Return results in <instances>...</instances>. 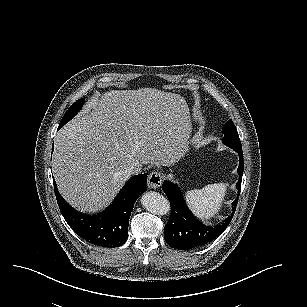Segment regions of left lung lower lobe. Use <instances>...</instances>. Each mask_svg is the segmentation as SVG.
<instances>
[{
	"label": "left lung lower lobe",
	"instance_id": "obj_1",
	"mask_svg": "<svg viewBox=\"0 0 307 307\" xmlns=\"http://www.w3.org/2000/svg\"><path fill=\"white\" fill-rule=\"evenodd\" d=\"M235 151L239 154L240 158L238 167L239 180L236 184L239 196L243 175V152L242 149ZM162 189L171 204V216L164 228V239L172 248L179 250L196 249L215 240L232 220L238 201L237 197L232 203L233 212L231 216L225 219L222 225L209 227L201 224L192 215L177 185L165 181Z\"/></svg>",
	"mask_w": 307,
	"mask_h": 307
}]
</instances>
